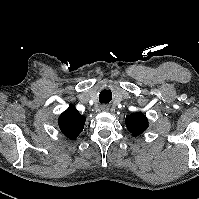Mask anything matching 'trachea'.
Wrapping results in <instances>:
<instances>
[{
    "mask_svg": "<svg viewBox=\"0 0 199 199\" xmlns=\"http://www.w3.org/2000/svg\"><path fill=\"white\" fill-rule=\"evenodd\" d=\"M112 99V93L110 90H106L104 89L103 91H101L100 95H99V102L100 103H109Z\"/></svg>",
    "mask_w": 199,
    "mask_h": 199,
    "instance_id": "obj_1",
    "label": "trachea"
}]
</instances>
